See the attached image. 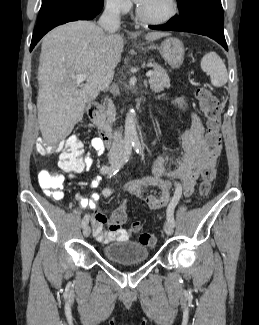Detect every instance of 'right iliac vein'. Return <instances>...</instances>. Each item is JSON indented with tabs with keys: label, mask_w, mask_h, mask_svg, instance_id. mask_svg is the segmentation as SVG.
Returning a JSON list of instances; mask_svg holds the SVG:
<instances>
[{
	"label": "right iliac vein",
	"mask_w": 259,
	"mask_h": 325,
	"mask_svg": "<svg viewBox=\"0 0 259 325\" xmlns=\"http://www.w3.org/2000/svg\"><path fill=\"white\" fill-rule=\"evenodd\" d=\"M120 158H121V155L118 154V153H116V154H111V155L109 156L108 161H109L110 164L113 165V164L117 163V162L119 161ZM90 233H91L90 226H89V225H85L84 228H83V235H84L85 237H88V236L90 235Z\"/></svg>",
	"instance_id": "63e3f726"
}]
</instances>
